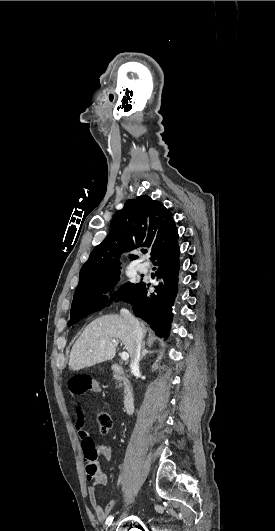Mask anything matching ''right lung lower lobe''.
Segmentation results:
<instances>
[{"instance_id": "98d812e1", "label": "right lung lower lobe", "mask_w": 275, "mask_h": 531, "mask_svg": "<svg viewBox=\"0 0 275 531\" xmlns=\"http://www.w3.org/2000/svg\"><path fill=\"white\" fill-rule=\"evenodd\" d=\"M178 232L175 228L166 241L151 255L159 284L150 292V284L140 281L125 302L136 316L146 321L158 336H167L172 322V306L177 295L179 273Z\"/></svg>"}]
</instances>
